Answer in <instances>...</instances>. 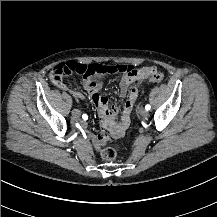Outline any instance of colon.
<instances>
[{"mask_svg":"<svg viewBox=\"0 0 217 217\" xmlns=\"http://www.w3.org/2000/svg\"><path fill=\"white\" fill-rule=\"evenodd\" d=\"M156 67L152 66H142L140 68H136L130 64H113V65H104V64H77V65H69V66H60L55 71H51L48 74V79L51 82L61 81L62 79L68 78L72 74H76L78 76H90L101 73H128V74H138L139 77L142 74H150ZM141 78V77H140ZM154 81L152 83L160 82L163 78L162 72H158L154 77H152ZM148 81V80H147ZM149 82V81H148ZM150 83V82H149ZM99 145L101 146L100 157L103 160L112 161L116 158V153L111 151L110 147H105V142H107L108 137L105 131L100 130L97 133Z\"/></svg>","mask_w":217,"mask_h":217,"instance_id":"obj_1","label":"colon"}]
</instances>
